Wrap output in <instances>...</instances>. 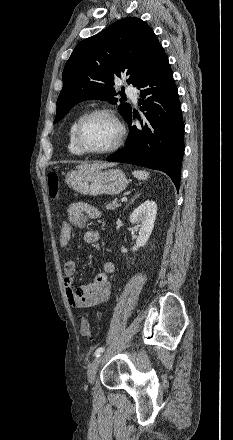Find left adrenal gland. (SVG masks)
Masks as SVG:
<instances>
[{
	"mask_svg": "<svg viewBox=\"0 0 233 440\" xmlns=\"http://www.w3.org/2000/svg\"><path fill=\"white\" fill-rule=\"evenodd\" d=\"M139 196L140 194L135 195V197L131 200L130 204H132ZM126 207H128V205Z\"/></svg>",
	"mask_w": 233,
	"mask_h": 440,
	"instance_id": "a2214340",
	"label": "left adrenal gland"
}]
</instances>
